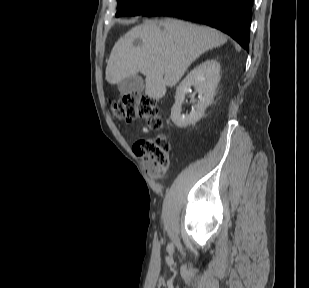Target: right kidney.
Here are the masks:
<instances>
[{"label":"right kidney","mask_w":309,"mask_h":288,"mask_svg":"<svg viewBox=\"0 0 309 288\" xmlns=\"http://www.w3.org/2000/svg\"><path fill=\"white\" fill-rule=\"evenodd\" d=\"M219 81L220 64L216 60H207L193 69L177 87L170 116L173 123L180 128L195 124L213 100ZM191 86H194L198 93V101L190 114L181 115V105L185 95L191 91ZM192 100L196 101L194 95Z\"/></svg>","instance_id":"obj_1"}]
</instances>
